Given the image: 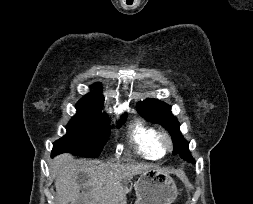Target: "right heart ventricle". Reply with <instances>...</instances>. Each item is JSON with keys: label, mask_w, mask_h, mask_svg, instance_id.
<instances>
[{"label": "right heart ventricle", "mask_w": 253, "mask_h": 204, "mask_svg": "<svg viewBox=\"0 0 253 204\" xmlns=\"http://www.w3.org/2000/svg\"><path fill=\"white\" fill-rule=\"evenodd\" d=\"M158 132L143 122L137 121L130 130V141L135 146L138 153L152 160L162 157L163 152L157 142Z\"/></svg>", "instance_id": "e07e8e85"}]
</instances>
